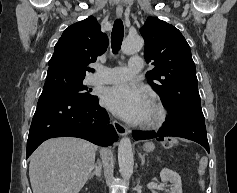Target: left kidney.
Returning a JSON list of instances; mask_svg holds the SVG:
<instances>
[{
  "mask_svg": "<svg viewBox=\"0 0 237 193\" xmlns=\"http://www.w3.org/2000/svg\"><path fill=\"white\" fill-rule=\"evenodd\" d=\"M160 177L163 184L171 183L168 193H182V183L179 174L168 168H163L160 172Z\"/></svg>",
  "mask_w": 237,
  "mask_h": 193,
  "instance_id": "left-kidney-1",
  "label": "left kidney"
}]
</instances>
